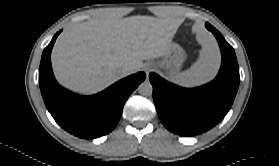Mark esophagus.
<instances>
[{"mask_svg": "<svg viewBox=\"0 0 279 166\" xmlns=\"http://www.w3.org/2000/svg\"><path fill=\"white\" fill-rule=\"evenodd\" d=\"M144 71L146 72L147 76L150 74V72L153 71L152 65L148 64L145 66Z\"/></svg>", "mask_w": 279, "mask_h": 166, "instance_id": "1", "label": "esophagus"}]
</instances>
